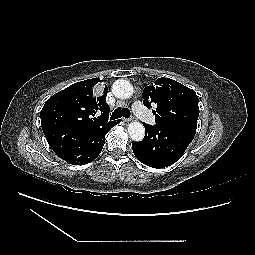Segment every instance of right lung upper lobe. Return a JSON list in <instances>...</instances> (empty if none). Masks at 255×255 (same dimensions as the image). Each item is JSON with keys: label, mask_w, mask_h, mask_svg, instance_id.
I'll return each mask as SVG.
<instances>
[{"label": "right lung upper lobe", "mask_w": 255, "mask_h": 255, "mask_svg": "<svg viewBox=\"0 0 255 255\" xmlns=\"http://www.w3.org/2000/svg\"><path fill=\"white\" fill-rule=\"evenodd\" d=\"M98 78L77 82L51 96L41 110L42 129L52 150L60 157L88 132L111 125L106 103L107 86L96 95ZM95 114L100 115L97 118Z\"/></svg>", "instance_id": "obj_1"}]
</instances>
